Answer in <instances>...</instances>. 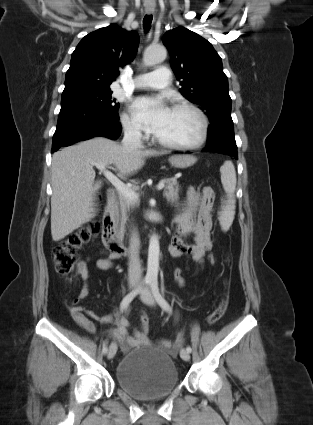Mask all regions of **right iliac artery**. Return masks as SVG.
<instances>
[{"label": "right iliac artery", "mask_w": 313, "mask_h": 425, "mask_svg": "<svg viewBox=\"0 0 313 425\" xmlns=\"http://www.w3.org/2000/svg\"><path fill=\"white\" fill-rule=\"evenodd\" d=\"M150 279H147V278H145L144 280H143V286L144 285H149L150 284ZM140 290H141V287H139V288H137V289H135V290H133L132 292H130L129 294H127L124 298H123V300H122V302H121V304H120V310L123 312L128 306H129V304L131 303V301L135 298V296L140 292ZM107 350H108V348H107V342L104 344V346H103V349H102V352L105 354V353H107Z\"/></svg>", "instance_id": "obj_1"}]
</instances>
